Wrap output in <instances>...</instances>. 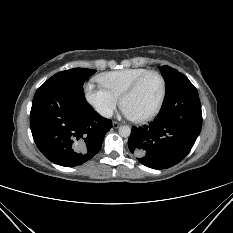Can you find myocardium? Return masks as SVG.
<instances>
[{
	"instance_id": "1",
	"label": "myocardium",
	"mask_w": 233,
	"mask_h": 233,
	"mask_svg": "<svg viewBox=\"0 0 233 233\" xmlns=\"http://www.w3.org/2000/svg\"><path fill=\"white\" fill-rule=\"evenodd\" d=\"M150 75H156L159 77V79L161 80V84H162V91H161V96L159 99V102L157 104V106L148 114L141 116V117H131V119L135 122H146L149 121L151 119H153L154 117H156L158 115V113L160 112L165 98H166V93H167V85H166V80L164 78V76L155 70H149L145 73H143L142 75H140L120 96V104L123 106V102L124 100L130 96L131 94H133L141 85V83Z\"/></svg>"
}]
</instances>
